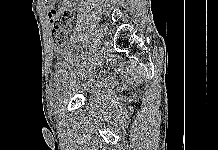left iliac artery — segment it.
Masks as SVG:
<instances>
[{
    "instance_id": "1",
    "label": "left iliac artery",
    "mask_w": 218,
    "mask_h": 150,
    "mask_svg": "<svg viewBox=\"0 0 218 150\" xmlns=\"http://www.w3.org/2000/svg\"><path fill=\"white\" fill-rule=\"evenodd\" d=\"M95 37H96V40H95V45H98V46H93V50H92V54L90 56L92 57H89L92 59V62L91 63H86V65L84 64H81L80 67L78 66L76 69H73L69 74L72 76L73 74H77V73H80L81 71H87L88 68H91L90 66L96 62V57H97V51L100 49V41H101V38L99 36V34L96 32L95 34Z\"/></svg>"
}]
</instances>
